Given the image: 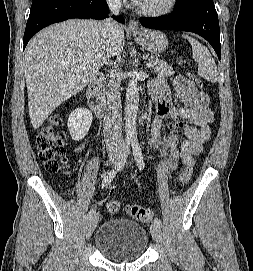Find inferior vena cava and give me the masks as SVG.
I'll return each mask as SVG.
<instances>
[{
  "label": "inferior vena cava",
  "mask_w": 253,
  "mask_h": 271,
  "mask_svg": "<svg viewBox=\"0 0 253 271\" xmlns=\"http://www.w3.org/2000/svg\"><path fill=\"white\" fill-rule=\"evenodd\" d=\"M112 14L118 15L121 8V0H106ZM115 22L107 18L98 22V27L104 38L111 37ZM109 61V58L107 59ZM116 71L111 70L103 78L104 98V138L109 153H117L122 149V105L119 85L115 79ZM110 78L108 82L106 79Z\"/></svg>",
  "instance_id": "1"
}]
</instances>
